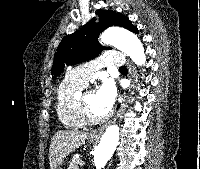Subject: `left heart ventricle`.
<instances>
[{
  "instance_id": "left-heart-ventricle-1",
  "label": "left heart ventricle",
  "mask_w": 200,
  "mask_h": 169,
  "mask_svg": "<svg viewBox=\"0 0 200 169\" xmlns=\"http://www.w3.org/2000/svg\"><path fill=\"white\" fill-rule=\"evenodd\" d=\"M85 100L94 117L100 118L106 114L98 101L97 93L95 91L88 92L85 95Z\"/></svg>"
}]
</instances>
